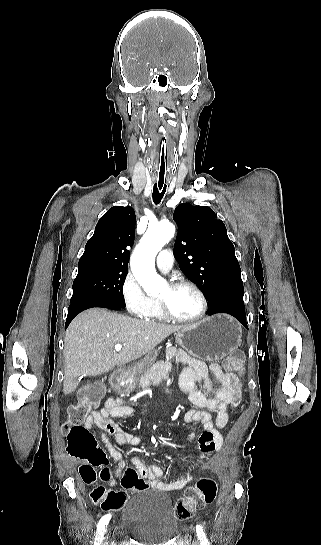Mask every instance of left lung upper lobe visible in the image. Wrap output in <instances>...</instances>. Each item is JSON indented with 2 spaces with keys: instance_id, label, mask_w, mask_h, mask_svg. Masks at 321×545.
<instances>
[{
  "instance_id": "5c2ea615",
  "label": "left lung upper lobe",
  "mask_w": 321,
  "mask_h": 545,
  "mask_svg": "<svg viewBox=\"0 0 321 545\" xmlns=\"http://www.w3.org/2000/svg\"><path fill=\"white\" fill-rule=\"evenodd\" d=\"M206 206L183 203L173 219L178 225L174 245L181 271L204 293L207 300L222 286L241 281V270L227 230Z\"/></svg>"
}]
</instances>
